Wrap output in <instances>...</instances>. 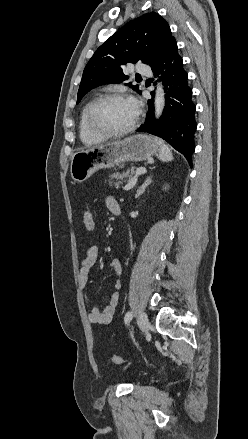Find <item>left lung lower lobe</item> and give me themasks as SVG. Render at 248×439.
<instances>
[{"instance_id": "obj_1", "label": "left lung lower lobe", "mask_w": 248, "mask_h": 439, "mask_svg": "<svg viewBox=\"0 0 248 439\" xmlns=\"http://www.w3.org/2000/svg\"><path fill=\"white\" fill-rule=\"evenodd\" d=\"M155 74H162L166 103L159 120L154 118L153 100H148V113L145 123L137 129L161 137L182 153L192 164L195 151L194 133L196 106L192 102V89L188 85V74L183 68L182 58L173 42L161 59L152 67ZM154 96V92H151Z\"/></svg>"}]
</instances>
